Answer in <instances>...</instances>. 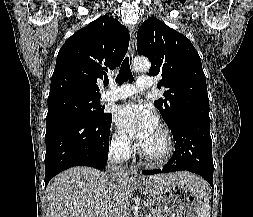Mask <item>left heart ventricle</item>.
I'll return each instance as SVG.
<instances>
[{
    "mask_svg": "<svg viewBox=\"0 0 253 217\" xmlns=\"http://www.w3.org/2000/svg\"><path fill=\"white\" fill-rule=\"evenodd\" d=\"M140 147L153 156L162 154L165 150V140L160 130L156 129Z\"/></svg>",
    "mask_w": 253,
    "mask_h": 217,
    "instance_id": "obj_1",
    "label": "left heart ventricle"
}]
</instances>
